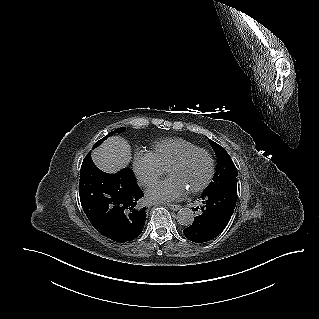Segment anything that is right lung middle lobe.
<instances>
[{
	"instance_id": "right-lung-middle-lobe-1",
	"label": "right lung middle lobe",
	"mask_w": 319,
	"mask_h": 319,
	"mask_svg": "<svg viewBox=\"0 0 319 319\" xmlns=\"http://www.w3.org/2000/svg\"><path fill=\"white\" fill-rule=\"evenodd\" d=\"M126 128L125 127H121V128H117L115 131L110 132L108 135H106L104 138H102L101 140L97 141L94 144V148H96L97 146H99L107 137L115 134V133H121L122 131H124Z\"/></svg>"
}]
</instances>
